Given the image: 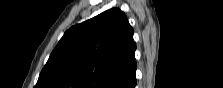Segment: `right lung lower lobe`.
Wrapping results in <instances>:
<instances>
[{"instance_id":"1","label":"right lung lower lobe","mask_w":223,"mask_h":88,"mask_svg":"<svg viewBox=\"0 0 223 88\" xmlns=\"http://www.w3.org/2000/svg\"><path fill=\"white\" fill-rule=\"evenodd\" d=\"M135 85H136V78H134V81L132 82L129 88H135Z\"/></svg>"}]
</instances>
